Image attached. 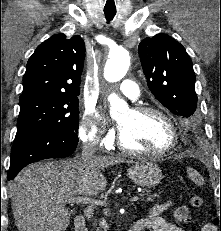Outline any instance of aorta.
Masks as SVG:
<instances>
[{"label":"aorta","instance_id":"aorta-1","mask_svg":"<svg viewBox=\"0 0 221 231\" xmlns=\"http://www.w3.org/2000/svg\"><path fill=\"white\" fill-rule=\"evenodd\" d=\"M130 64L129 52L124 48H116L109 53V59L104 68V78L106 81L114 83L121 80L128 71ZM110 102L111 115L117 113L120 108L127 107L126 103L116 94L108 97Z\"/></svg>","mask_w":221,"mask_h":231}]
</instances>
